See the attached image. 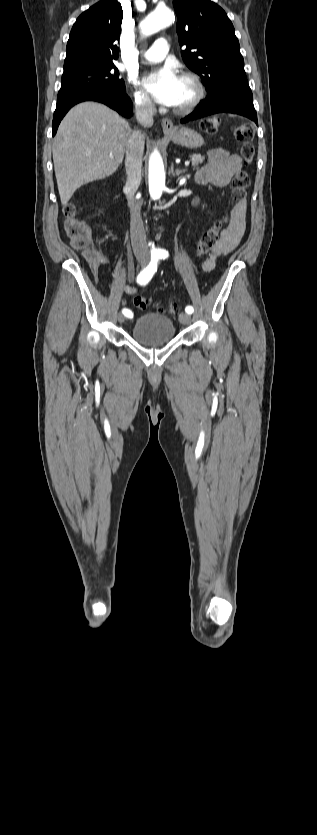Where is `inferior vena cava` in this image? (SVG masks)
Masks as SVG:
<instances>
[{"label":"inferior vena cava","mask_w":317,"mask_h":835,"mask_svg":"<svg viewBox=\"0 0 317 835\" xmlns=\"http://www.w3.org/2000/svg\"><path fill=\"white\" fill-rule=\"evenodd\" d=\"M155 105L145 99L135 105L137 121L143 127H151L154 123ZM145 136L140 131H132L126 145L125 168L127 173V200L130 208V235L134 254L137 258L147 260L149 248L145 229L140 215L141 204L134 198L141 182L142 157L144 153Z\"/></svg>","instance_id":"602c4592"}]
</instances>
